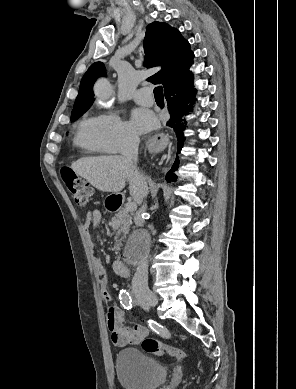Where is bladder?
Listing matches in <instances>:
<instances>
[{"mask_svg":"<svg viewBox=\"0 0 296 389\" xmlns=\"http://www.w3.org/2000/svg\"><path fill=\"white\" fill-rule=\"evenodd\" d=\"M115 371L125 389H155L168 375L163 364L135 348L122 349L116 354Z\"/></svg>","mask_w":296,"mask_h":389,"instance_id":"31cf9c89","label":"bladder"}]
</instances>
